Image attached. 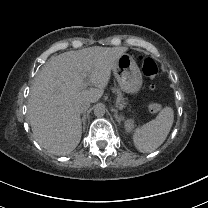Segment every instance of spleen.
<instances>
[{
  "mask_svg": "<svg viewBox=\"0 0 208 208\" xmlns=\"http://www.w3.org/2000/svg\"><path fill=\"white\" fill-rule=\"evenodd\" d=\"M174 122V109L164 106L154 120L137 127L132 133V144L140 153L155 151L166 140Z\"/></svg>",
  "mask_w": 208,
  "mask_h": 208,
  "instance_id": "1",
  "label": "spleen"
}]
</instances>
